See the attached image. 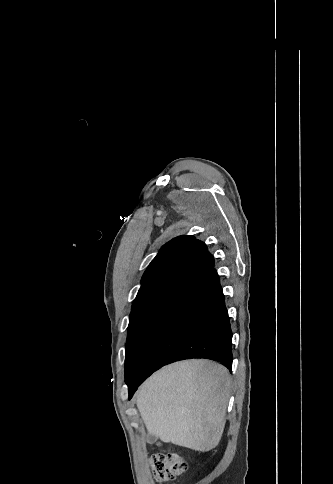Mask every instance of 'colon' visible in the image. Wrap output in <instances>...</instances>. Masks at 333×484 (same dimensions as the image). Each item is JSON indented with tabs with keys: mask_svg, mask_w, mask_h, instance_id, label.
Segmentation results:
<instances>
[{
	"mask_svg": "<svg viewBox=\"0 0 333 484\" xmlns=\"http://www.w3.org/2000/svg\"><path fill=\"white\" fill-rule=\"evenodd\" d=\"M150 463L155 479L159 482H166L176 479L185 473L187 464L177 453L161 451L150 458Z\"/></svg>",
	"mask_w": 333,
	"mask_h": 484,
	"instance_id": "1",
	"label": "colon"
}]
</instances>
